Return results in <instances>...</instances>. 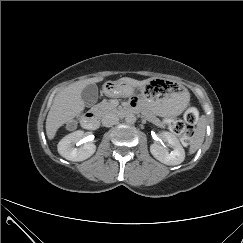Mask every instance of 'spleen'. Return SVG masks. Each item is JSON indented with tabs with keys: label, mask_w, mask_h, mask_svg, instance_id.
<instances>
[{
	"label": "spleen",
	"mask_w": 243,
	"mask_h": 243,
	"mask_svg": "<svg viewBox=\"0 0 243 243\" xmlns=\"http://www.w3.org/2000/svg\"><path fill=\"white\" fill-rule=\"evenodd\" d=\"M205 129H206V118L204 115H202L199 119L197 127L194 131V135L192 136L190 142V147H189L190 154L195 153L202 145L205 138Z\"/></svg>",
	"instance_id": "3e777b00"
}]
</instances>
